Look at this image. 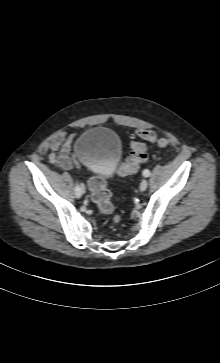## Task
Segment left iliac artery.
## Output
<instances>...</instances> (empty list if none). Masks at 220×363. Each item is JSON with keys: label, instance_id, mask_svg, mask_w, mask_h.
<instances>
[{"label": "left iliac artery", "instance_id": "obj_1", "mask_svg": "<svg viewBox=\"0 0 220 363\" xmlns=\"http://www.w3.org/2000/svg\"><path fill=\"white\" fill-rule=\"evenodd\" d=\"M143 176H144V177H149V176H150V171H149L148 169H145V170L143 171Z\"/></svg>", "mask_w": 220, "mask_h": 363}]
</instances>
